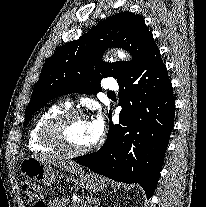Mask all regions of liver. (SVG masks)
Returning <instances> with one entry per match:
<instances>
[{
  "label": "liver",
  "mask_w": 206,
  "mask_h": 207,
  "mask_svg": "<svg viewBox=\"0 0 206 207\" xmlns=\"http://www.w3.org/2000/svg\"><path fill=\"white\" fill-rule=\"evenodd\" d=\"M35 158L40 161H45L47 163L53 164L54 166L59 167L62 170L71 172L73 174H77L83 171L82 167H80L77 163L72 161H65L59 156L40 155V156H35Z\"/></svg>",
  "instance_id": "1"
}]
</instances>
